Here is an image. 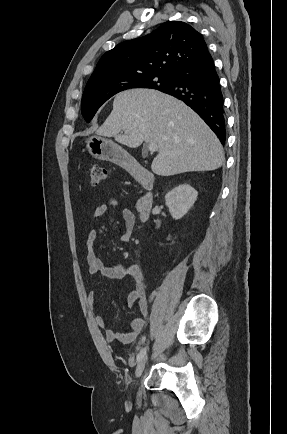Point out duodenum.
Returning <instances> with one entry per match:
<instances>
[{
	"mask_svg": "<svg viewBox=\"0 0 287 434\" xmlns=\"http://www.w3.org/2000/svg\"><path fill=\"white\" fill-rule=\"evenodd\" d=\"M124 165L131 169L134 178L143 185L148 192L143 195L137 203V212L139 216V220L141 222H146L151 215L152 207H153V195L151 193V189L154 185V180L152 176L141 167L135 159L126 158L123 161Z\"/></svg>",
	"mask_w": 287,
	"mask_h": 434,
	"instance_id": "410a0bca",
	"label": "duodenum"
}]
</instances>
